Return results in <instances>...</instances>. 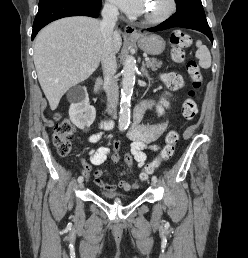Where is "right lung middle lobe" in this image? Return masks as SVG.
I'll return each mask as SVG.
<instances>
[{
    "mask_svg": "<svg viewBox=\"0 0 248 258\" xmlns=\"http://www.w3.org/2000/svg\"><path fill=\"white\" fill-rule=\"evenodd\" d=\"M44 1H46V0H40L39 3L44 2Z\"/></svg>",
    "mask_w": 248,
    "mask_h": 258,
    "instance_id": "dd1d6c3e",
    "label": "right lung middle lobe"
}]
</instances>
